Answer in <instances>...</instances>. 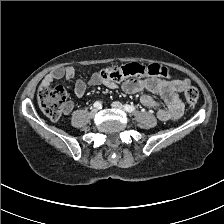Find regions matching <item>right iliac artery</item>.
<instances>
[{"label":"right iliac artery","instance_id":"right-iliac-artery-1","mask_svg":"<svg viewBox=\"0 0 224 224\" xmlns=\"http://www.w3.org/2000/svg\"><path fill=\"white\" fill-rule=\"evenodd\" d=\"M93 106H94L95 108H101V107H102V104H101V102L96 101V102L93 104Z\"/></svg>","mask_w":224,"mask_h":224}]
</instances>
